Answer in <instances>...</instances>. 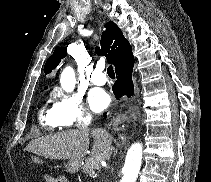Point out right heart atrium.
I'll use <instances>...</instances> for the list:
<instances>
[{"label": "right heart atrium", "mask_w": 211, "mask_h": 182, "mask_svg": "<svg viewBox=\"0 0 211 182\" xmlns=\"http://www.w3.org/2000/svg\"><path fill=\"white\" fill-rule=\"evenodd\" d=\"M53 112L63 126L82 125L87 123L91 115L85 108L80 94L54 93Z\"/></svg>", "instance_id": "d8ad5b80"}]
</instances>
